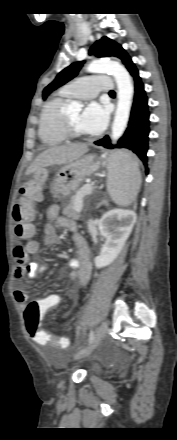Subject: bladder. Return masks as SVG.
Returning <instances> with one entry per match:
<instances>
[{
  "mask_svg": "<svg viewBox=\"0 0 177 440\" xmlns=\"http://www.w3.org/2000/svg\"><path fill=\"white\" fill-rule=\"evenodd\" d=\"M99 369V364L97 361H90L89 362V370L92 372H97Z\"/></svg>",
  "mask_w": 177,
  "mask_h": 440,
  "instance_id": "1",
  "label": "bladder"
}]
</instances>
